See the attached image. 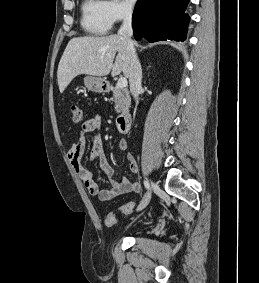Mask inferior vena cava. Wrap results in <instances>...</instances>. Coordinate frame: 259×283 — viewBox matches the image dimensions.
<instances>
[{"label":"inferior vena cava","instance_id":"inferior-vena-cava-1","mask_svg":"<svg viewBox=\"0 0 259 283\" xmlns=\"http://www.w3.org/2000/svg\"><path fill=\"white\" fill-rule=\"evenodd\" d=\"M118 34L124 38L128 54H129V84L132 96L138 101L139 93L141 90L142 70L139 59L136 54L134 43L131 39L133 35L132 29V8H124L123 23L120 27Z\"/></svg>","mask_w":259,"mask_h":283}]
</instances>
